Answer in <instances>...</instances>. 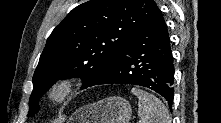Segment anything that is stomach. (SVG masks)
Wrapping results in <instances>:
<instances>
[{
  "label": "stomach",
  "instance_id": "obj_1",
  "mask_svg": "<svg viewBox=\"0 0 221 123\" xmlns=\"http://www.w3.org/2000/svg\"><path fill=\"white\" fill-rule=\"evenodd\" d=\"M131 114L130 103L114 96L78 108L68 123H128Z\"/></svg>",
  "mask_w": 221,
  "mask_h": 123
}]
</instances>
